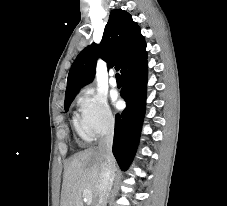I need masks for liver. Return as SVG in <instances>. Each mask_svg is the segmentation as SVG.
Listing matches in <instances>:
<instances>
[{
	"label": "liver",
	"instance_id": "6515ba94",
	"mask_svg": "<svg viewBox=\"0 0 227 206\" xmlns=\"http://www.w3.org/2000/svg\"><path fill=\"white\" fill-rule=\"evenodd\" d=\"M102 161V155L97 147L74 155L64 172L60 206H84V190L92 193L91 206H96L97 183Z\"/></svg>",
	"mask_w": 227,
	"mask_h": 206
}]
</instances>
